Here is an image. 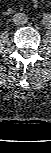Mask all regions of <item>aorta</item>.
I'll return each instance as SVG.
<instances>
[{"label": "aorta", "mask_w": 51, "mask_h": 153, "mask_svg": "<svg viewBox=\"0 0 51 153\" xmlns=\"http://www.w3.org/2000/svg\"><path fill=\"white\" fill-rule=\"evenodd\" d=\"M42 21H43V27L45 29H50L51 28V17L44 16L42 18Z\"/></svg>", "instance_id": "762f6f07"}]
</instances>
